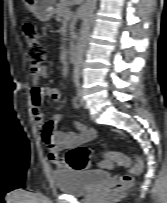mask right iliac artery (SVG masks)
Instances as JSON below:
<instances>
[{"mask_svg": "<svg viewBox=\"0 0 167 203\" xmlns=\"http://www.w3.org/2000/svg\"><path fill=\"white\" fill-rule=\"evenodd\" d=\"M74 83H75V86H76V87L79 86L78 76H75V77H74Z\"/></svg>", "mask_w": 167, "mask_h": 203, "instance_id": "1", "label": "right iliac artery"}]
</instances>
